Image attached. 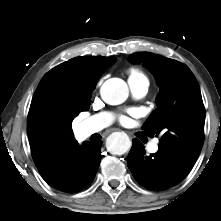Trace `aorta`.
I'll use <instances>...</instances> for the list:
<instances>
[{"mask_svg": "<svg viewBox=\"0 0 221 221\" xmlns=\"http://www.w3.org/2000/svg\"><path fill=\"white\" fill-rule=\"evenodd\" d=\"M102 99L110 105L122 104L129 95L126 82L120 78L106 80L100 89ZM131 147L129 137L123 132H115L107 139V148L112 154L122 155Z\"/></svg>", "mask_w": 221, "mask_h": 221, "instance_id": "obj_1", "label": "aorta"}]
</instances>
